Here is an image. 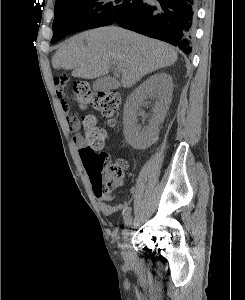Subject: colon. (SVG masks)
Listing matches in <instances>:
<instances>
[{
	"label": "colon",
	"mask_w": 245,
	"mask_h": 300,
	"mask_svg": "<svg viewBox=\"0 0 245 300\" xmlns=\"http://www.w3.org/2000/svg\"><path fill=\"white\" fill-rule=\"evenodd\" d=\"M57 92L66 94L70 91L80 106H91L108 119L109 125H114V115L120 105V97L113 90L93 91L85 81H76L70 87L68 77L60 75L54 78ZM85 145L79 153L86 171L91 179L94 192L99 196L108 195L123 181L126 164L123 161L110 163L108 158L99 153L105 141V133L97 125L92 115L82 117Z\"/></svg>",
	"instance_id": "5ec220e1"
}]
</instances>
